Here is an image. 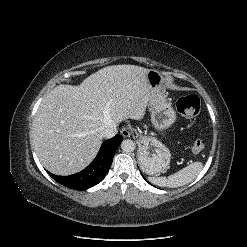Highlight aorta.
Masks as SVG:
<instances>
[{"label": "aorta", "instance_id": "762f6f07", "mask_svg": "<svg viewBox=\"0 0 247 247\" xmlns=\"http://www.w3.org/2000/svg\"><path fill=\"white\" fill-rule=\"evenodd\" d=\"M121 149L126 153H130L134 151L135 143L131 139H125L121 143Z\"/></svg>", "mask_w": 247, "mask_h": 247}]
</instances>
